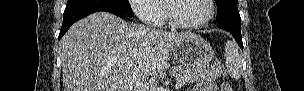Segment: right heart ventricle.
I'll return each instance as SVG.
<instances>
[{
	"label": "right heart ventricle",
	"mask_w": 304,
	"mask_h": 91,
	"mask_svg": "<svg viewBox=\"0 0 304 91\" xmlns=\"http://www.w3.org/2000/svg\"><path fill=\"white\" fill-rule=\"evenodd\" d=\"M163 8H164V2H163V4H161V5L159 6L160 11H162Z\"/></svg>",
	"instance_id": "1"
}]
</instances>
